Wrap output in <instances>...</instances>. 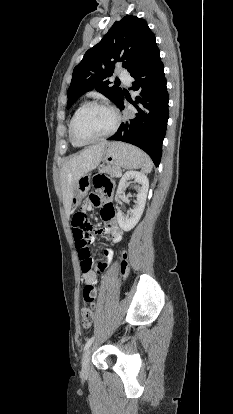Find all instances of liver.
Instances as JSON below:
<instances>
[{"label": "liver", "mask_w": 233, "mask_h": 414, "mask_svg": "<svg viewBox=\"0 0 233 414\" xmlns=\"http://www.w3.org/2000/svg\"><path fill=\"white\" fill-rule=\"evenodd\" d=\"M109 143L101 142L83 149L71 157L61 169L60 179L63 194V205L67 216L71 214L74 190L79 180L94 170L101 162L105 147Z\"/></svg>", "instance_id": "1"}]
</instances>
